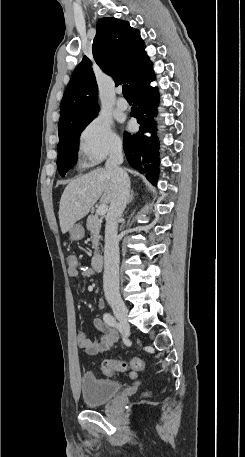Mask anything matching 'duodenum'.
<instances>
[{"label": "duodenum", "mask_w": 245, "mask_h": 457, "mask_svg": "<svg viewBox=\"0 0 245 457\" xmlns=\"http://www.w3.org/2000/svg\"><path fill=\"white\" fill-rule=\"evenodd\" d=\"M104 265V257L102 254H96L94 255L92 259V266L93 269L96 271H100L103 268Z\"/></svg>", "instance_id": "duodenum-1"}]
</instances>
